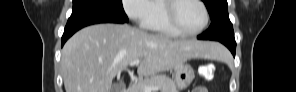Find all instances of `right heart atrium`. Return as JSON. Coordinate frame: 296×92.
Masks as SVG:
<instances>
[{
    "instance_id": "obj_1",
    "label": "right heart atrium",
    "mask_w": 296,
    "mask_h": 92,
    "mask_svg": "<svg viewBox=\"0 0 296 92\" xmlns=\"http://www.w3.org/2000/svg\"><path fill=\"white\" fill-rule=\"evenodd\" d=\"M123 7L129 19L141 26H145L153 14L152 1L149 0H125Z\"/></svg>"
}]
</instances>
